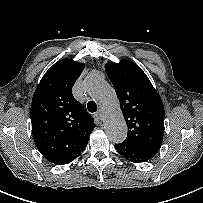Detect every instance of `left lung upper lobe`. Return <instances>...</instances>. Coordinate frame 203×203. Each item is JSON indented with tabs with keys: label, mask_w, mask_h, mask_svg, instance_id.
Returning a JSON list of instances; mask_svg holds the SVG:
<instances>
[{
	"label": "left lung upper lobe",
	"mask_w": 203,
	"mask_h": 203,
	"mask_svg": "<svg viewBox=\"0 0 203 203\" xmlns=\"http://www.w3.org/2000/svg\"><path fill=\"white\" fill-rule=\"evenodd\" d=\"M128 126L124 141L155 155L164 135V106L143 70L134 62L121 60L105 65Z\"/></svg>",
	"instance_id": "1"
}]
</instances>
